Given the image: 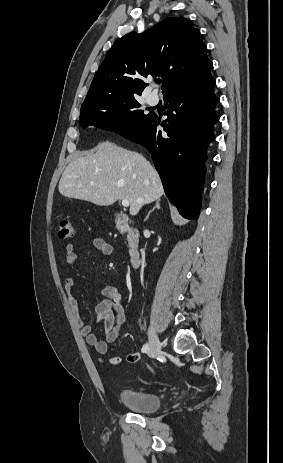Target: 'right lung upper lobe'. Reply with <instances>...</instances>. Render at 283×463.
I'll return each instance as SVG.
<instances>
[{
	"label": "right lung upper lobe",
	"mask_w": 283,
	"mask_h": 463,
	"mask_svg": "<svg viewBox=\"0 0 283 463\" xmlns=\"http://www.w3.org/2000/svg\"><path fill=\"white\" fill-rule=\"evenodd\" d=\"M200 30L184 17H168L142 34L118 39L95 73L84 104L141 95L147 76L163 78L162 93L211 76Z\"/></svg>",
	"instance_id": "obj_1"
}]
</instances>
